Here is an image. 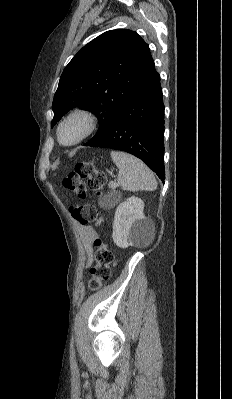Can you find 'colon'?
Returning <instances> with one entry per match:
<instances>
[{
    "instance_id": "1",
    "label": "colon",
    "mask_w": 232,
    "mask_h": 399,
    "mask_svg": "<svg viewBox=\"0 0 232 399\" xmlns=\"http://www.w3.org/2000/svg\"><path fill=\"white\" fill-rule=\"evenodd\" d=\"M97 165V160H82L81 163H75V168L81 170H74V175H66L62 180V185L69 186V191L72 196H77V200L81 203H69V214L72 218H76V222L91 223V218H95V222H100L98 214L99 202L86 203V186L97 188V193H102V187L111 188V173H106L102 170H94ZM81 180V181H79ZM102 232H107V221H102ZM109 264V266H107ZM114 253H111V247L102 245V238H97V245H94V264H90V275H94L93 280L86 281V286L90 289L103 288L107 285L108 275H113Z\"/></svg>"
}]
</instances>
